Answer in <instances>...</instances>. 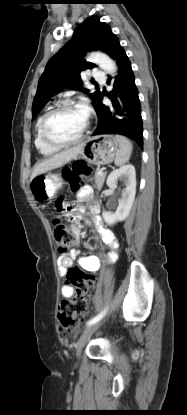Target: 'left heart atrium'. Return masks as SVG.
Here are the masks:
<instances>
[{"instance_id": "obj_1", "label": "left heart atrium", "mask_w": 187, "mask_h": 415, "mask_svg": "<svg viewBox=\"0 0 187 415\" xmlns=\"http://www.w3.org/2000/svg\"><path fill=\"white\" fill-rule=\"evenodd\" d=\"M78 110L81 112V114L86 118L88 115V107L86 104L82 103L79 107Z\"/></svg>"}]
</instances>
